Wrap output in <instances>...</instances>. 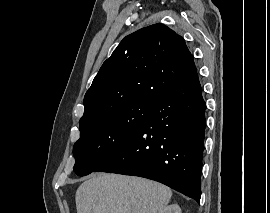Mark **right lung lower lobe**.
Returning <instances> with one entry per match:
<instances>
[{
	"mask_svg": "<svg viewBox=\"0 0 270 213\" xmlns=\"http://www.w3.org/2000/svg\"><path fill=\"white\" fill-rule=\"evenodd\" d=\"M205 109L195 72L157 102L137 132L94 172L152 179L199 203Z\"/></svg>",
	"mask_w": 270,
	"mask_h": 213,
	"instance_id": "obj_1",
	"label": "right lung lower lobe"
}]
</instances>
